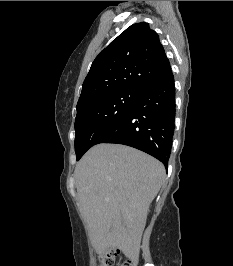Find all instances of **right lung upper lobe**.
<instances>
[{"mask_svg": "<svg viewBox=\"0 0 233 266\" xmlns=\"http://www.w3.org/2000/svg\"><path fill=\"white\" fill-rule=\"evenodd\" d=\"M170 68L158 34L145 22L133 24L95 58L78 103L114 90H143Z\"/></svg>", "mask_w": 233, "mask_h": 266, "instance_id": "1", "label": "right lung upper lobe"}]
</instances>
